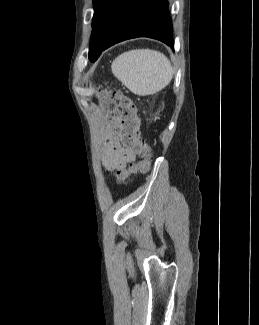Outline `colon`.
I'll return each instance as SVG.
<instances>
[{
	"label": "colon",
	"instance_id": "colon-1",
	"mask_svg": "<svg viewBox=\"0 0 259 325\" xmlns=\"http://www.w3.org/2000/svg\"><path fill=\"white\" fill-rule=\"evenodd\" d=\"M100 106L107 113L110 121L106 123V128H122L123 144L143 158L140 163L118 171V181H123L136 172H146L151 163L153 153L151 148L141 140L140 119L134 100L122 92L116 91L111 95H101Z\"/></svg>",
	"mask_w": 259,
	"mask_h": 325
}]
</instances>
